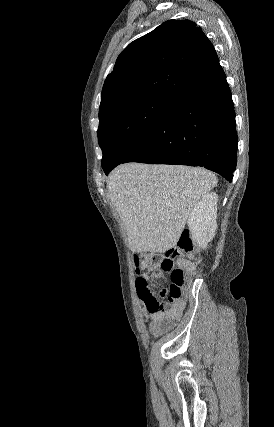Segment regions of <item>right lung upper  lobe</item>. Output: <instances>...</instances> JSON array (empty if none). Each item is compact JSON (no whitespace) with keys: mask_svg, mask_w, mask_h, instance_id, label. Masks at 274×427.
Wrapping results in <instances>:
<instances>
[{"mask_svg":"<svg viewBox=\"0 0 274 427\" xmlns=\"http://www.w3.org/2000/svg\"><path fill=\"white\" fill-rule=\"evenodd\" d=\"M222 71L218 56L200 27L169 20L129 44L107 76L99 114L133 98L178 97Z\"/></svg>","mask_w":274,"mask_h":427,"instance_id":"cb5924a9","label":"right lung upper lobe"}]
</instances>
